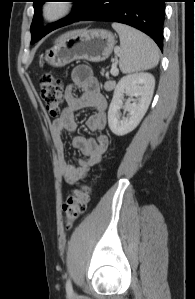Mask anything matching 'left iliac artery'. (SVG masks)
I'll list each match as a JSON object with an SVG mask.
<instances>
[{
    "label": "left iliac artery",
    "instance_id": "1",
    "mask_svg": "<svg viewBox=\"0 0 195 299\" xmlns=\"http://www.w3.org/2000/svg\"><path fill=\"white\" fill-rule=\"evenodd\" d=\"M66 291H67L68 294L73 293V289H72V285H71L70 280H67V282H66Z\"/></svg>",
    "mask_w": 195,
    "mask_h": 299
}]
</instances>
